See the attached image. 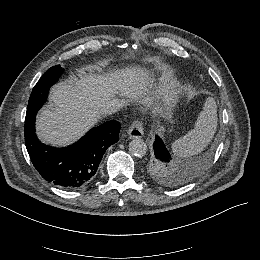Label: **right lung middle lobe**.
I'll return each instance as SVG.
<instances>
[{"instance_id":"obj_1","label":"right lung middle lobe","mask_w":260,"mask_h":260,"mask_svg":"<svg viewBox=\"0 0 260 260\" xmlns=\"http://www.w3.org/2000/svg\"><path fill=\"white\" fill-rule=\"evenodd\" d=\"M63 70L59 65L48 69L34 87L29 98L26 120L34 117L47 98L49 88L58 80Z\"/></svg>"}]
</instances>
